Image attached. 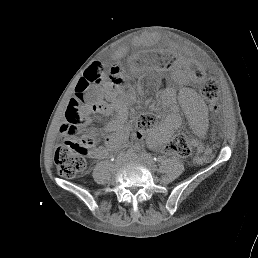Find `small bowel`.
<instances>
[{"instance_id":"small-bowel-1","label":"small bowel","mask_w":258,"mask_h":258,"mask_svg":"<svg viewBox=\"0 0 258 258\" xmlns=\"http://www.w3.org/2000/svg\"><path fill=\"white\" fill-rule=\"evenodd\" d=\"M140 45V41H136L133 43V46L135 47H138ZM122 52H119L117 54V56H121ZM89 93H90V96L94 99V100H99L101 99V96H100V88H93L91 90H89ZM113 97V95H111ZM111 98V97H110ZM95 107L94 108H88V109H85L83 111V119L85 122H88L90 121L91 119V116L92 114L94 113H104V114H110L113 110V107L111 105V99L110 101H108V103L106 105H94ZM107 132H113V131H116L117 132V136L113 137L111 142L106 145V146H103V147H98V148H95L93 149L91 152H90V156L91 157H94V158H103L105 156H107L113 149H115L119 143L121 141H123L124 139H126L127 137V130L122 127L118 122L113 126V125H110L107 127ZM159 140V137L158 136H155L153 139H152V143H155Z\"/></svg>"}]
</instances>
